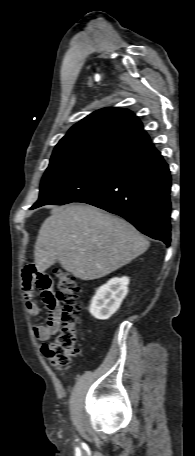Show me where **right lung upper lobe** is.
I'll return each mask as SVG.
<instances>
[{"instance_id": "obj_1", "label": "right lung upper lobe", "mask_w": 195, "mask_h": 456, "mask_svg": "<svg viewBox=\"0 0 195 456\" xmlns=\"http://www.w3.org/2000/svg\"><path fill=\"white\" fill-rule=\"evenodd\" d=\"M157 152L131 111L98 110L74 125L56 145L50 163L92 160L126 167Z\"/></svg>"}]
</instances>
